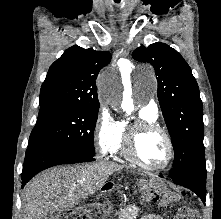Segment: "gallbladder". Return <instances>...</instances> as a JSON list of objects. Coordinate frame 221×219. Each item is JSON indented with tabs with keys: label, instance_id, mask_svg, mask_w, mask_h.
I'll use <instances>...</instances> for the list:
<instances>
[{
	"label": "gallbladder",
	"instance_id": "1",
	"mask_svg": "<svg viewBox=\"0 0 221 219\" xmlns=\"http://www.w3.org/2000/svg\"><path fill=\"white\" fill-rule=\"evenodd\" d=\"M60 218V213L58 214H48L44 219H59Z\"/></svg>",
	"mask_w": 221,
	"mask_h": 219
}]
</instances>
